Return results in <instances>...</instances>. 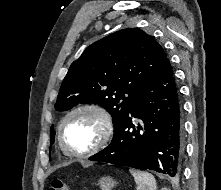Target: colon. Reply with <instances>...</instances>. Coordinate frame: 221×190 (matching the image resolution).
<instances>
[{"instance_id":"1","label":"colon","mask_w":221,"mask_h":190,"mask_svg":"<svg viewBox=\"0 0 221 190\" xmlns=\"http://www.w3.org/2000/svg\"><path fill=\"white\" fill-rule=\"evenodd\" d=\"M48 190H69V189L63 181L55 179L51 182Z\"/></svg>"}]
</instances>
